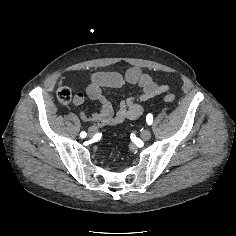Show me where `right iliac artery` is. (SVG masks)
Returning a JSON list of instances; mask_svg holds the SVG:
<instances>
[{"mask_svg":"<svg viewBox=\"0 0 236 236\" xmlns=\"http://www.w3.org/2000/svg\"><path fill=\"white\" fill-rule=\"evenodd\" d=\"M87 136V133L85 132V131H82L81 133H80V137L81 138H85Z\"/></svg>","mask_w":236,"mask_h":236,"instance_id":"obj_1","label":"right iliac artery"}]
</instances>
